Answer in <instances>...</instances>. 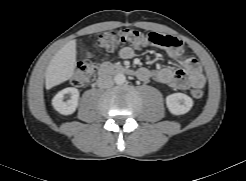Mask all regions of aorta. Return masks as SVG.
I'll return each mask as SVG.
<instances>
[{
	"mask_svg": "<svg viewBox=\"0 0 246 181\" xmlns=\"http://www.w3.org/2000/svg\"><path fill=\"white\" fill-rule=\"evenodd\" d=\"M114 82L117 84V85H122L126 82V77L124 74L122 73H118L114 76Z\"/></svg>",
	"mask_w": 246,
	"mask_h": 181,
	"instance_id": "obj_1",
	"label": "aorta"
}]
</instances>
